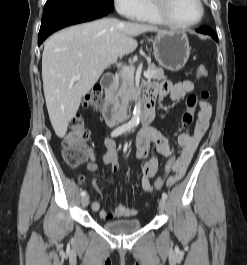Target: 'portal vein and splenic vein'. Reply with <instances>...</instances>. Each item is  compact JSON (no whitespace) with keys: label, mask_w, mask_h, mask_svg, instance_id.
<instances>
[{"label":"portal vein and splenic vein","mask_w":247,"mask_h":265,"mask_svg":"<svg viewBox=\"0 0 247 265\" xmlns=\"http://www.w3.org/2000/svg\"><path fill=\"white\" fill-rule=\"evenodd\" d=\"M125 70L127 71H132V68L131 67H127L125 68ZM145 77L147 78H152V74H150L148 71L144 73ZM81 78V75H76L72 78V80L76 81V80H79Z\"/></svg>","instance_id":"portal-vein-and-splenic-vein-1"}]
</instances>
